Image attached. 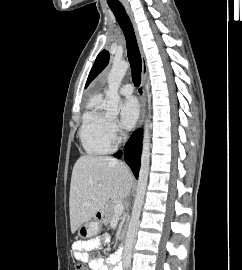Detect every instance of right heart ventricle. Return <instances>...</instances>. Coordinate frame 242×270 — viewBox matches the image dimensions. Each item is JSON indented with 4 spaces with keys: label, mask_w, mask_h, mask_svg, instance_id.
<instances>
[{
    "label": "right heart ventricle",
    "mask_w": 242,
    "mask_h": 270,
    "mask_svg": "<svg viewBox=\"0 0 242 270\" xmlns=\"http://www.w3.org/2000/svg\"><path fill=\"white\" fill-rule=\"evenodd\" d=\"M100 101L99 96L90 100L79 130L81 145L89 155L106 154L114 149V140L109 129L110 117L101 110Z\"/></svg>",
    "instance_id": "e07e8e85"
}]
</instances>
